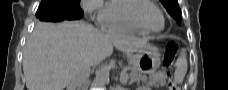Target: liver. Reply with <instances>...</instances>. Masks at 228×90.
Listing matches in <instances>:
<instances>
[{
  "mask_svg": "<svg viewBox=\"0 0 228 90\" xmlns=\"http://www.w3.org/2000/svg\"><path fill=\"white\" fill-rule=\"evenodd\" d=\"M149 38L106 33L83 21L38 23L23 52L27 90H64L82 64L96 66L113 52L127 54L147 45Z\"/></svg>",
  "mask_w": 228,
  "mask_h": 90,
  "instance_id": "6515ba94",
  "label": "liver"
}]
</instances>
